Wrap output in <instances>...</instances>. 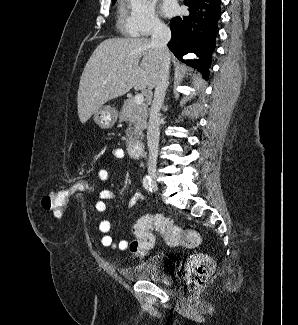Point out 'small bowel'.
Wrapping results in <instances>:
<instances>
[{"mask_svg": "<svg viewBox=\"0 0 298 325\" xmlns=\"http://www.w3.org/2000/svg\"><path fill=\"white\" fill-rule=\"evenodd\" d=\"M111 155L116 159H123L125 157V151L122 148H115L111 151ZM110 177L109 171L107 169H100L98 172V178L101 181H107ZM100 200L95 204V209L99 213H103L106 211V203L105 200L113 199V193L108 189H103L99 193ZM144 200V196L140 193V191L136 190L128 199L127 205L128 207L134 206L138 202H142ZM111 223L108 220H102L99 223V232L101 233V244L104 247L115 249L118 248L120 250H126L128 248V242L126 240H120L118 243L114 242L113 237L110 234Z\"/></svg>", "mask_w": 298, "mask_h": 325, "instance_id": "c3829d8e", "label": "small bowel"}]
</instances>
